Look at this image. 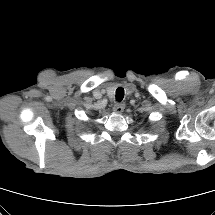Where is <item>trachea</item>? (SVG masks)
I'll list each match as a JSON object with an SVG mask.
<instances>
[{"label": "trachea", "instance_id": "3493384b", "mask_svg": "<svg viewBox=\"0 0 215 215\" xmlns=\"http://www.w3.org/2000/svg\"><path fill=\"white\" fill-rule=\"evenodd\" d=\"M124 98V89L122 87L116 90V101L121 102Z\"/></svg>", "mask_w": 215, "mask_h": 215}]
</instances>
